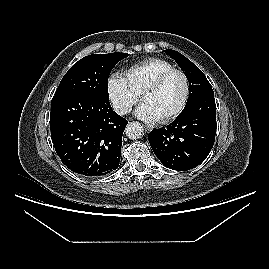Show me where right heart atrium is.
Returning <instances> with one entry per match:
<instances>
[{
  "label": "right heart atrium",
  "mask_w": 269,
  "mask_h": 269,
  "mask_svg": "<svg viewBox=\"0 0 269 269\" xmlns=\"http://www.w3.org/2000/svg\"><path fill=\"white\" fill-rule=\"evenodd\" d=\"M106 92L113 110L119 115L127 114L139 99V95L131 88L126 77L120 73L109 76Z\"/></svg>",
  "instance_id": "d8ad5b80"
}]
</instances>
